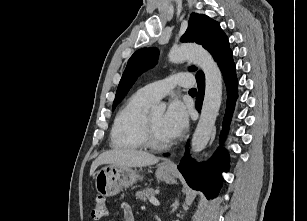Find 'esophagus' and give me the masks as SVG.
Listing matches in <instances>:
<instances>
[{"label":"esophagus","mask_w":307,"mask_h":221,"mask_svg":"<svg viewBox=\"0 0 307 221\" xmlns=\"http://www.w3.org/2000/svg\"><path fill=\"white\" fill-rule=\"evenodd\" d=\"M168 165H169V166H172V167L174 166V164H168Z\"/></svg>","instance_id":"obj_1"}]
</instances>
